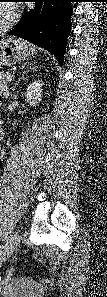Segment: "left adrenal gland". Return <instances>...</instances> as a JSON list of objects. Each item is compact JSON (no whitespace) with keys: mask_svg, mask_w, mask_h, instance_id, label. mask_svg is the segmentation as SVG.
Masks as SVG:
<instances>
[{"mask_svg":"<svg viewBox=\"0 0 107 297\" xmlns=\"http://www.w3.org/2000/svg\"><path fill=\"white\" fill-rule=\"evenodd\" d=\"M33 64L27 65L26 69L23 71V73L19 76L18 81H16V83L14 84V86L12 87V91L15 90L16 86L19 84L20 80L24 78L25 74H27L30 70L36 71V67H32Z\"/></svg>","mask_w":107,"mask_h":297,"instance_id":"left-adrenal-gland-1","label":"left adrenal gland"}]
</instances>
